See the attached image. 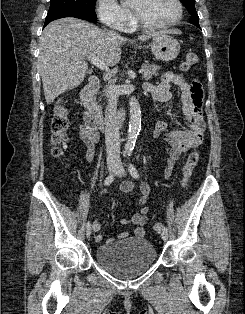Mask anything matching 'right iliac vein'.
Listing matches in <instances>:
<instances>
[{"label": "right iliac vein", "mask_w": 245, "mask_h": 314, "mask_svg": "<svg viewBox=\"0 0 245 314\" xmlns=\"http://www.w3.org/2000/svg\"><path fill=\"white\" fill-rule=\"evenodd\" d=\"M115 169H116V163H115V162H110V163L108 164V171H109V173L114 172ZM90 235H91V228H88V229L86 230V236H87V237H90Z\"/></svg>", "instance_id": "63e3f726"}]
</instances>
